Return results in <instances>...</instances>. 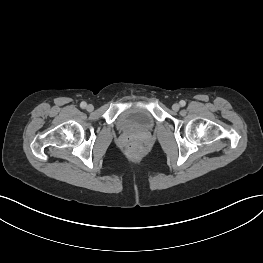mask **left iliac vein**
<instances>
[{"label":"left iliac vein","instance_id":"4c4485c4","mask_svg":"<svg viewBox=\"0 0 263 263\" xmlns=\"http://www.w3.org/2000/svg\"><path fill=\"white\" fill-rule=\"evenodd\" d=\"M172 109H173L174 111H178V110L180 109V105L177 104V103H175V104H173Z\"/></svg>","mask_w":263,"mask_h":263}]
</instances>
